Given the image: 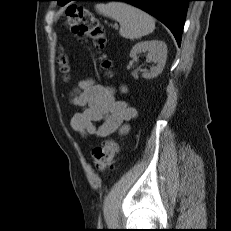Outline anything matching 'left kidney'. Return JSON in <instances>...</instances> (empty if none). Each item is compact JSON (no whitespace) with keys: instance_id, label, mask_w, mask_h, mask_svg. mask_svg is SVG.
<instances>
[{"instance_id":"obj_1","label":"left kidney","mask_w":231,"mask_h":231,"mask_svg":"<svg viewBox=\"0 0 231 231\" xmlns=\"http://www.w3.org/2000/svg\"><path fill=\"white\" fill-rule=\"evenodd\" d=\"M147 52V60L156 64L150 72L143 73V77L151 79L157 77L163 70L167 58V46L163 41H142L133 46L130 57L135 58L140 53Z\"/></svg>"}]
</instances>
